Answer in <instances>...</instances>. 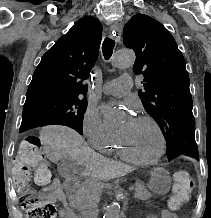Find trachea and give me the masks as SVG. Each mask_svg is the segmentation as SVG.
Instances as JSON below:
<instances>
[{
    "label": "trachea",
    "instance_id": "obj_1",
    "mask_svg": "<svg viewBox=\"0 0 211 218\" xmlns=\"http://www.w3.org/2000/svg\"><path fill=\"white\" fill-rule=\"evenodd\" d=\"M115 41L111 38H105L102 44V53L105 59H109L113 53Z\"/></svg>",
    "mask_w": 211,
    "mask_h": 218
}]
</instances>
